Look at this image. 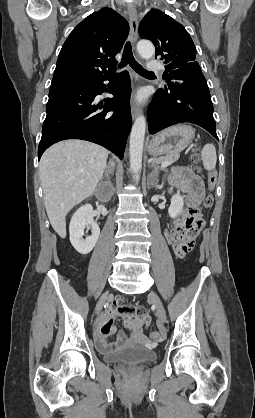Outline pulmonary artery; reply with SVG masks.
<instances>
[{"label": "pulmonary artery", "instance_id": "1", "mask_svg": "<svg viewBox=\"0 0 255 418\" xmlns=\"http://www.w3.org/2000/svg\"><path fill=\"white\" fill-rule=\"evenodd\" d=\"M147 67H148V70L150 71H156V70L162 69V65L155 60L149 61Z\"/></svg>", "mask_w": 255, "mask_h": 418}]
</instances>
